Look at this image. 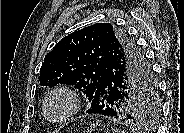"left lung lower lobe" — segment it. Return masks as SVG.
I'll list each match as a JSON object with an SVG mask.
<instances>
[{
	"label": "left lung lower lobe",
	"mask_w": 184,
	"mask_h": 133,
	"mask_svg": "<svg viewBox=\"0 0 184 133\" xmlns=\"http://www.w3.org/2000/svg\"><path fill=\"white\" fill-rule=\"evenodd\" d=\"M122 70V66L114 57L106 58L102 69V80L93 94L91 107L86 111L87 113L119 118L130 92L126 87V77ZM141 88L148 96L152 95L150 83L141 81Z\"/></svg>",
	"instance_id": "left-lung-lower-lobe-1"
}]
</instances>
